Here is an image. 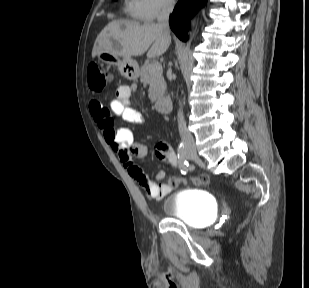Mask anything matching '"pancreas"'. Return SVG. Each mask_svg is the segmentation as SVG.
<instances>
[{
    "instance_id": "pancreas-1",
    "label": "pancreas",
    "mask_w": 309,
    "mask_h": 288,
    "mask_svg": "<svg viewBox=\"0 0 309 288\" xmlns=\"http://www.w3.org/2000/svg\"><path fill=\"white\" fill-rule=\"evenodd\" d=\"M152 64L147 61L141 67L140 81L149 84V99L153 103L164 96L166 83L162 75V69L153 71L151 70Z\"/></svg>"
}]
</instances>
